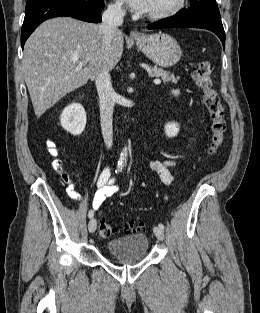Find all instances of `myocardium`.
Segmentation results:
<instances>
[{"label": "myocardium", "mask_w": 260, "mask_h": 313, "mask_svg": "<svg viewBox=\"0 0 260 313\" xmlns=\"http://www.w3.org/2000/svg\"><path fill=\"white\" fill-rule=\"evenodd\" d=\"M186 0H175L173 5L163 11L147 13L146 17L150 20H164L177 15L185 7Z\"/></svg>", "instance_id": "obj_1"}]
</instances>
